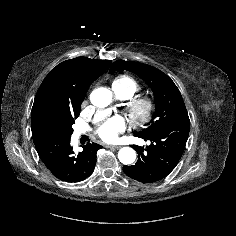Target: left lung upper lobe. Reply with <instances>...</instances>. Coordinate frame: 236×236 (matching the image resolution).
Returning <instances> with one entry per match:
<instances>
[{
	"instance_id": "5c2ea615",
	"label": "left lung upper lobe",
	"mask_w": 236,
	"mask_h": 236,
	"mask_svg": "<svg viewBox=\"0 0 236 236\" xmlns=\"http://www.w3.org/2000/svg\"><path fill=\"white\" fill-rule=\"evenodd\" d=\"M121 70L138 75L148 84L154 94L155 112L152 124L135 135H150L169 125L190 121L179 89L165 73L151 65L123 60L114 62L110 73Z\"/></svg>"
}]
</instances>
